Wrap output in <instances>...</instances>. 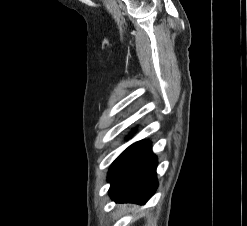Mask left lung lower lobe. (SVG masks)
<instances>
[{
  "mask_svg": "<svg viewBox=\"0 0 247 226\" xmlns=\"http://www.w3.org/2000/svg\"><path fill=\"white\" fill-rule=\"evenodd\" d=\"M157 158L149 141L128 147L112 164L108 173L111 198L120 203L144 204L156 191Z\"/></svg>",
  "mask_w": 247,
  "mask_h": 226,
  "instance_id": "0a47b994",
  "label": "left lung lower lobe"
}]
</instances>
